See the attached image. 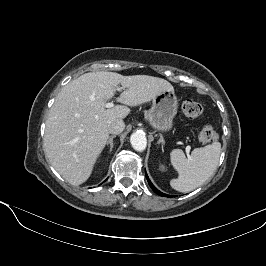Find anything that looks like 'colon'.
Returning <instances> with one entry per match:
<instances>
[{
  "label": "colon",
  "instance_id": "1",
  "mask_svg": "<svg viewBox=\"0 0 266 266\" xmlns=\"http://www.w3.org/2000/svg\"><path fill=\"white\" fill-rule=\"evenodd\" d=\"M184 115L191 120L199 119L204 113V107L201 103L187 99L182 105ZM218 138V133L212 125H205L201 128L198 134V141L201 144H209Z\"/></svg>",
  "mask_w": 266,
  "mask_h": 266
}]
</instances>
